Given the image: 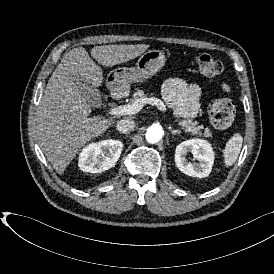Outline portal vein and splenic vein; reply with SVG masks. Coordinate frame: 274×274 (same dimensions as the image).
I'll return each instance as SVG.
<instances>
[{
  "mask_svg": "<svg viewBox=\"0 0 274 274\" xmlns=\"http://www.w3.org/2000/svg\"><path fill=\"white\" fill-rule=\"evenodd\" d=\"M142 103L160 105L164 111H167L166 106L163 104V102L160 99L146 98L142 100L141 102H137L135 104L113 106L111 108H108L106 112L109 115L118 116V117L135 114V113H138V111L140 110Z\"/></svg>",
  "mask_w": 274,
  "mask_h": 274,
  "instance_id": "obj_1",
  "label": "portal vein and splenic vein"
}]
</instances>
